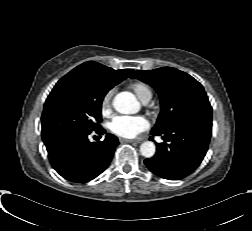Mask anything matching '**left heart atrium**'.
Segmentation results:
<instances>
[{"mask_svg": "<svg viewBox=\"0 0 252 231\" xmlns=\"http://www.w3.org/2000/svg\"><path fill=\"white\" fill-rule=\"evenodd\" d=\"M148 128L149 122L143 116L118 115L110 122V130L125 138H133Z\"/></svg>", "mask_w": 252, "mask_h": 231, "instance_id": "1", "label": "left heart atrium"}]
</instances>
